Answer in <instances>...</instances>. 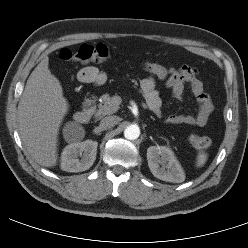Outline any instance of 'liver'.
Listing matches in <instances>:
<instances>
[{
  "mask_svg": "<svg viewBox=\"0 0 248 248\" xmlns=\"http://www.w3.org/2000/svg\"><path fill=\"white\" fill-rule=\"evenodd\" d=\"M48 64L46 56L30 74L17 116L20 137L28 153L39 165L53 167L58 161V132L69 107Z\"/></svg>",
  "mask_w": 248,
  "mask_h": 248,
  "instance_id": "liver-1",
  "label": "liver"
}]
</instances>
